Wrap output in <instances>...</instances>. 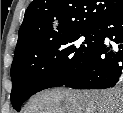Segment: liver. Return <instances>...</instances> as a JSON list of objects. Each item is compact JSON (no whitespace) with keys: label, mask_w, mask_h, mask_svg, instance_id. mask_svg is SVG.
<instances>
[{"label":"liver","mask_w":123,"mask_h":113,"mask_svg":"<svg viewBox=\"0 0 123 113\" xmlns=\"http://www.w3.org/2000/svg\"><path fill=\"white\" fill-rule=\"evenodd\" d=\"M25 113H123V90L46 89L30 100Z\"/></svg>","instance_id":"1"}]
</instances>
